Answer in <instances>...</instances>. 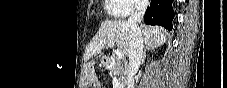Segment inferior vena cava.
<instances>
[{"instance_id":"obj_1","label":"inferior vena cava","mask_w":227,"mask_h":88,"mask_svg":"<svg viewBox=\"0 0 227 88\" xmlns=\"http://www.w3.org/2000/svg\"><path fill=\"white\" fill-rule=\"evenodd\" d=\"M148 6V0H140L136 4V11L132 12L126 22L129 30V66L126 79L127 88H134V75L137 73L144 51L143 38L138 26L141 23Z\"/></svg>"}]
</instances>
